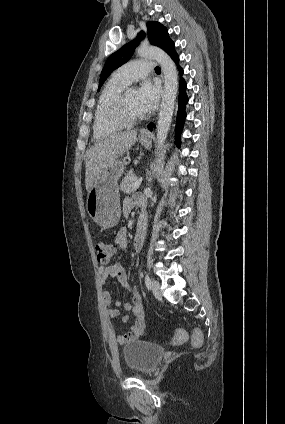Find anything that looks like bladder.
<instances>
[{
  "label": "bladder",
  "instance_id": "31cf9c89",
  "mask_svg": "<svg viewBox=\"0 0 285 424\" xmlns=\"http://www.w3.org/2000/svg\"><path fill=\"white\" fill-rule=\"evenodd\" d=\"M163 353L160 346L143 340L131 341L121 349L127 369L137 374L154 371L160 363Z\"/></svg>",
  "mask_w": 285,
  "mask_h": 424
}]
</instances>
